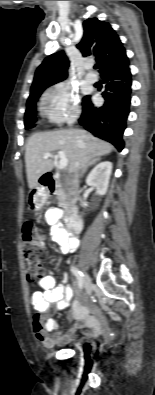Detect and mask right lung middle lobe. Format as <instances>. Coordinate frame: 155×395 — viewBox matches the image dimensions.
Masks as SVG:
<instances>
[{
  "label": "right lung middle lobe",
  "instance_id": "dd1d6c3e",
  "mask_svg": "<svg viewBox=\"0 0 155 395\" xmlns=\"http://www.w3.org/2000/svg\"><path fill=\"white\" fill-rule=\"evenodd\" d=\"M45 89L46 88L40 90L35 95L30 97L27 101V109L25 112V127L26 128L35 126L34 122L36 121V118H35L36 101Z\"/></svg>",
  "mask_w": 155,
  "mask_h": 395
}]
</instances>
